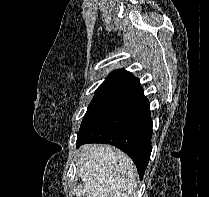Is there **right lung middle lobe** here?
Masks as SVG:
<instances>
[{"instance_id":"1","label":"right lung middle lobe","mask_w":209,"mask_h":197,"mask_svg":"<svg viewBox=\"0 0 209 197\" xmlns=\"http://www.w3.org/2000/svg\"><path fill=\"white\" fill-rule=\"evenodd\" d=\"M140 92L114 84H101L88 106L80 130L102 118L112 110L137 97Z\"/></svg>"}]
</instances>
